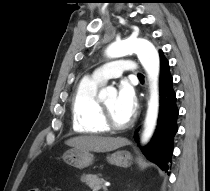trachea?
<instances>
[{"mask_svg":"<svg viewBox=\"0 0 210 191\" xmlns=\"http://www.w3.org/2000/svg\"><path fill=\"white\" fill-rule=\"evenodd\" d=\"M138 77H139V78H143L144 76H143V75H141V74H139V75H138Z\"/></svg>","mask_w":210,"mask_h":191,"instance_id":"trachea-1","label":"trachea"}]
</instances>
